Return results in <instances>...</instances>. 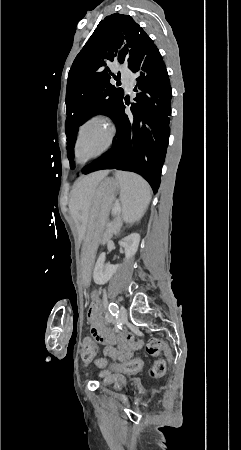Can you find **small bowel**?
<instances>
[{
    "label": "small bowel",
    "instance_id": "c3829d8e",
    "mask_svg": "<svg viewBox=\"0 0 241 450\" xmlns=\"http://www.w3.org/2000/svg\"><path fill=\"white\" fill-rule=\"evenodd\" d=\"M89 304V318L88 323L90 327L91 336H100L101 342L95 341V354H97V343L103 344V355L112 358L115 361L125 363L133 358L136 352H138L142 346L143 341L136 339L134 334L128 333H111L105 331L104 327H100L103 323V318L100 315V301L98 298H90ZM99 377L105 384L112 385L116 389H120L126 384V379L123 375V371L116 366H110L109 369H102L99 373Z\"/></svg>",
    "mask_w": 241,
    "mask_h": 450
}]
</instances>
